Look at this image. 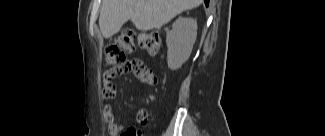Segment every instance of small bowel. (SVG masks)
I'll list each match as a JSON object with an SVG mask.
<instances>
[{
  "mask_svg": "<svg viewBox=\"0 0 325 136\" xmlns=\"http://www.w3.org/2000/svg\"><path fill=\"white\" fill-rule=\"evenodd\" d=\"M144 57H134L133 60L123 62L119 67L110 69L103 74V95L107 98L114 96V85L112 80L122 74L133 73L141 82L147 85H155L157 77L144 65ZM138 120L145 124L148 121V111L144 108L138 111ZM105 118L108 122V132L112 136L123 134L134 127H126L114 121V113L111 107L105 108Z\"/></svg>",
  "mask_w": 325,
  "mask_h": 136,
  "instance_id": "small-bowel-1",
  "label": "small bowel"
}]
</instances>
